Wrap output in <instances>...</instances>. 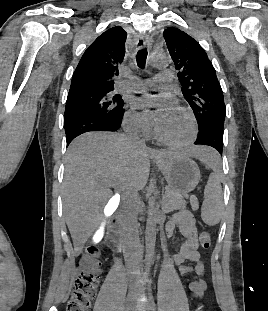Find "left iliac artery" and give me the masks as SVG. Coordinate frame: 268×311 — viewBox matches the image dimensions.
Masks as SVG:
<instances>
[{"instance_id":"obj_1","label":"left iliac artery","mask_w":268,"mask_h":311,"mask_svg":"<svg viewBox=\"0 0 268 311\" xmlns=\"http://www.w3.org/2000/svg\"><path fill=\"white\" fill-rule=\"evenodd\" d=\"M149 297H150V301H151V308H152V311H156V306H155V303H154V299H153L151 290L149 291Z\"/></svg>"}]
</instances>
